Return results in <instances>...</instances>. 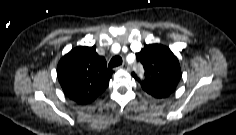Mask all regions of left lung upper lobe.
Wrapping results in <instances>:
<instances>
[{"label":"left lung upper lobe","instance_id":"5c2ea615","mask_svg":"<svg viewBox=\"0 0 236 135\" xmlns=\"http://www.w3.org/2000/svg\"><path fill=\"white\" fill-rule=\"evenodd\" d=\"M136 57L143 64L145 78L140 80L134 72L132 75L142 88L157 98L169 96L181 78L179 61L172 51L161 44H151L144 46Z\"/></svg>","mask_w":236,"mask_h":135}]
</instances>
